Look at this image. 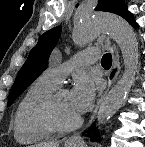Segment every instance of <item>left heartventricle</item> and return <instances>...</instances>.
<instances>
[{
    "label": "left heart ventricle",
    "instance_id": "b2bd125f",
    "mask_svg": "<svg viewBox=\"0 0 145 147\" xmlns=\"http://www.w3.org/2000/svg\"><path fill=\"white\" fill-rule=\"evenodd\" d=\"M56 111L59 118L65 123H71L79 117L72 106L69 92L60 95L57 100Z\"/></svg>",
    "mask_w": 145,
    "mask_h": 147
}]
</instances>
